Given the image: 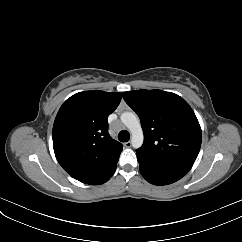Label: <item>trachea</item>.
Listing matches in <instances>:
<instances>
[{"label":"trachea","instance_id":"obj_1","mask_svg":"<svg viewBox=\"0 0 242 242\" xmlns=\"http://www.w3.org/2000/svg\"><path fill=\"white\" fill-rule=\"evenodd\" d=\"M118 139L121 142H128V140L130 139V134L127 130H122L119 134H118Z\"/></svg>","mask_w":242,"mask_h":242}]
</instances>
